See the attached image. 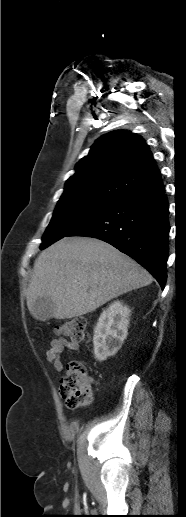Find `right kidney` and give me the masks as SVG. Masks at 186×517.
Returning a JSON list of instances; mask_svg holds the SVG:
<instances>
[{
  "label": "right kidney",
  "instance_id": "1",
  "mask_svg": "<svg viewBox=\"0 0 186 517\" xmlns=\"http://www.w3.org/2000/svg\"><path fill=\"white\" fill-rule=\"evenodd\" d=\"M130 309L120 301H114L104 310L94 328L95 358L102 362L122 347L128 334Z\"/></svg>",
  "mask_w": 186,
  "mask_h": 517
}]
</instances>
